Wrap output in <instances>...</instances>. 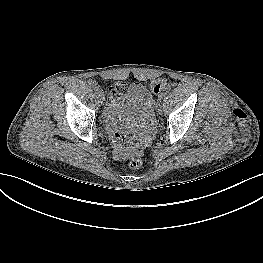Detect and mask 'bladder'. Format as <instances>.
I'll return each mask as SVG.
<instances>
[{"label": "bladder", "instance_id": "bladder-1", "mask_svg": "<svg viewBox=\"0 0 263 263\" xmlns=\"http://www.w3.org/2000/svg\"><path fill=\"white\" fill-rule=\"evenodd\" d=\"M128 101L130 102V105L126 106L123 113L127 118H133L134 116H136L137 112L142 110V108L144 107V104L141 103L140 98L135 95L131 96L128 99Z\"/></svg>", "mask_w": 263, "mask_h": 263}]
</instances>
